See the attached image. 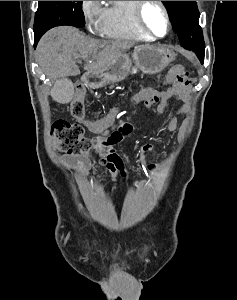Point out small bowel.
Instances as JSON below:
<instances>
[{
	"instance_id": "c3829d8e",
	"label": "small bowel",
	"mask_w": 237,
	"mask_h": 300,
	"mask_svg": "<svg viewBox=\"0 0 237 300\" xmlns=\"http://www.w3.org/2000/svg\"><path fill=\"white\" fill-rule=\"evenodd\" d=\"M166 82L173 83L175 80V75L173 73H169L166 77ZM157 90L154 86H149L146 89L142 90L138 94L134 96L135 102H141L145 97H147L150 94L155 93ZM187 86H178V85H172L167 90H165L160 98V101L157 105V111L159 113H164L168 110L169 104L171 99H177L184 101L187 98ZM181 111H178L180 113ZM117 115V110H112L107 116L104 118L98 119L96 121H87L84 119H78L80 123L86 126V128L94 133L99 134L103 132L105 129H107L109 126L112 125L115 117ZM187 124V122H184V126ZM166 127L169 130H175L177 127V118L176 116L171 117L167 123ZM152 149L151 144H145L140 148V156H141V162L144 163V154ZM97 155L99 157L100 163L107 167L108 170H110L114 175L115 179L113 180V186L116 185L117 177L124 178L125 177V170L122 158L119 156V154L112 148L107 150H97ZM62 161L69 165L71 168L74 169L75 174L78 178L84 177L89 169H90V163L86 159H77L72 156H62ZM148 169L150 171L155 170V165H149Z\"/></svg>"
}]
</instances>
